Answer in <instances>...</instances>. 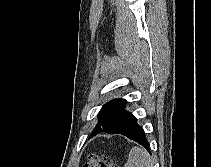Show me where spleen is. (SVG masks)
<instances>
[{
    "label": "spleen",
    "instance_id": "spleen-1",
    "mask_svg": "<svg viewBox=\"0 0 211 167\" xmlns=\"http://www.w3.org/2000/svg\"><path fill=\"white\" fill-rule=\"evenodd\" d=\"M125 167H154L149 153L140 147H133L128 156Z\"/></svg>",
    "mask_w": 211,
    "mask_h": 167
}]
</instances>
